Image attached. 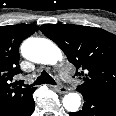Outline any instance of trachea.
<instances>
[{"label":"trachea","instance_id":"1","mask_svg":"<svg viewBox=\"0 0 116 116\" xmlns=\"http://www.w3.org/2000/svg\"><path fill=\"white\" fill-rule=\"evenodd\" d=\"M17 83L19 85L26 86V87H32V86L41 85V84L56 85L55 80L46 71H43L41 75L32 84H24L23 80H20Z\"/></svg>","mask_w":116,"mask_h":116}]
</instances>
